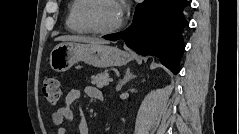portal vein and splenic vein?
Here are the masks:
<instances>
[{"instance_id":"1","label":"portal vein and splenic vein","mask_w":239,"mask_h":134,"mask_svg":"<svg viewBox=\"0 0 239 134\" xmlns=\"http://www.w3.org/2000/svg\"><path fill=\"white\" fill-rule=\"evenodd\" d=\"M108 81H109V82H113V78H109Z\"/></svg>"}]
</instances>
